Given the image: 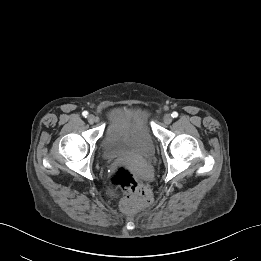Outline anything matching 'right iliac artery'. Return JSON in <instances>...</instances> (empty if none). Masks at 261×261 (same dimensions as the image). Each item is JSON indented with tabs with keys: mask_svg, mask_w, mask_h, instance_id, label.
Instances as JSON below:
<instances>
[{
	"mask_svg": "<svg viewBox=\"0 0 261 261\" xmlns=\"http://www.w3.org/2000/svg\"><path fill=\"white\" fill-rule=\"evenodd\" d=\"M82 115H83L84 117H87V116H88V112H87V111H84V112L82 113Z\"/></svg>",
	"mask_w": 261,
	"mask_h": 261,
	"instance_id": "obj_1",
	"label": "right iliac artery"
}]
</instances>
